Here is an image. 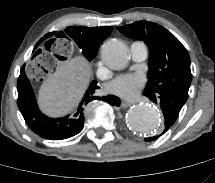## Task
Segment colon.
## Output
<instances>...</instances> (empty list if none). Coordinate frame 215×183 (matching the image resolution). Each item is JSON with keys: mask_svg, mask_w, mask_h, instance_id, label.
<instances>
[{"mask_svg": "<svg viewBox=\"0 0 215 183\" xmlns=\"http://www.w3.org/2000/svg\"><path fill=\"white\" fill-rule=\"evenodd\" d=\"M73 49V41L68 35L63 33L53 35L33 53L27 65L29 75L38 81L48 79L72 54Z\"/></svg>", "mask_w": 215, "mask_h": 183, "instance_id": "colon-1", "label": "colon"}]
</instances>
